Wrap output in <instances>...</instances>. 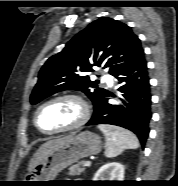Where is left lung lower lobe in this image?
<instances>
[{"instance_id": "obj_1", "label": "left lung lower lobe", "mask_w": 178, "mask_h": 186, "mask_svg": "<svg viewBox=\"0 0 178 186\" xmlns=\"http://www.w3.org/2000/svg\"><path fill=\"white\" fill-rule=\"evenodd\" d=\"M114 77L119 83H125L118 89L123 93V104H110L109 96L112 94L107 91L87 125L111 124L126 128L135 133L144 145L152 117L150 84L144 56Z\"/></svg>"}]
</instances>
